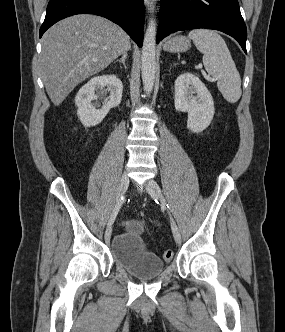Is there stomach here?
<instances>
[{"mask_svg":"<svg viewBox=\"0 0 285 332\" xmlns=\"http://www.w3.org/2000/svg\"><path fill=\"white\" fill-rule=\"evenodd\" d=\"M191 47L190 41L184 36H176L165 42L163 48L169 52H185Z\"/></svg>","mask_w":285,"mask_h":332,"instance_id":"obj_1","label":"stomach"}]
</instances>
